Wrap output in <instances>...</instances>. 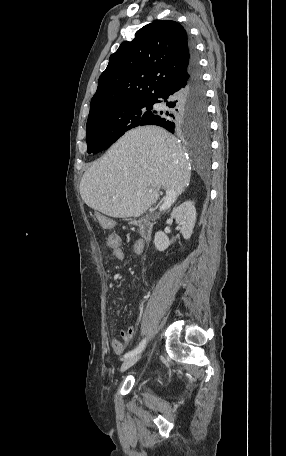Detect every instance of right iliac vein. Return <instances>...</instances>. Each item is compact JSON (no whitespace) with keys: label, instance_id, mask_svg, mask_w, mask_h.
I'll return each instance as SVG.
<instances>
[{"label":"right iliac vein","instance_id":"63e3f726","mask_svg":"<svg viewBox=\"0 0 286 456\" xmlns=\"http://www.w3.org/2000/svg\"><path fill=\"white\" fill-rule=\"evenodd\" d=\"M140 357H141L140 355H135V356L127 358L122 363L121 368H120V372H124L127 369H129L130 367H132L140 359Z\"/></svg>","mask_w":286,"mask_h":456}]
</instances>
